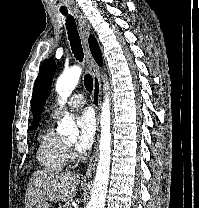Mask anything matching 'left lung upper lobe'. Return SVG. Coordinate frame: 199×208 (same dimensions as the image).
<instances>
[{"instance_id":"obj_1","label":"left lung upper lobe","mask_w":199,"mask_h":208,"mask_svg":"<svg viewBox=\"0 0 199 208\" xmlns=\"http://www.w3.org/2000/svg\"><path fill=\"white\" fill-rule=\"evenodd\" d=\"M56 70V64L54 60H44L39 68V74L34 83L33 95H32V112L34 115V121L31 125V129H34L41 117L45 102L50 94V88L52 79Z\"/></svg>"}]
</instances>
